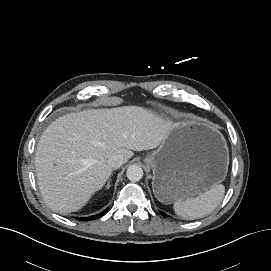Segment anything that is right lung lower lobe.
<instances>
[{"mask_svg": "<svg viewBox=\"0 0 271 271\" xmlns=\"http://www.w3.org/2000/svg\"><path fill=\"white\" fill-rule=\"evenodd\" d=\"M108 210H109V208H107L106 210H104V212H102L100 214L93 215V216H90V217H82V218L77 217L76 219L83 220V221H90V220L98 219V218L104 216L107 213Z\"/></svg>", "mask_w": 271, "mask_h": 271, "instance_id": "1", "label": "right lung lower lobe"}]
</instances>
